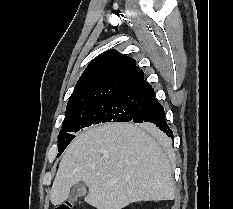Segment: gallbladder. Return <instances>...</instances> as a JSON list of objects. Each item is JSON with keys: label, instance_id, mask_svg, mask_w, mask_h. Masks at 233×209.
<instances>
[{"label": "gallbladder", "instance_id": "1", "mask_svg": "<svg viewBox=\"0 0 233 209\" xmlns=\"http://www.w3.org/2000/svg\"><path fill=\"white\" fill-rule=\"evenodd\" d=\"M86 194V187L84 183H78L73 186L70 191L68 200L70 202H75L79 197H82Z\"/></svg>", "mask_w": 233, "mask_h": 209}]
</instances>
